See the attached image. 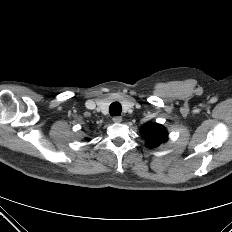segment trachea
<instances>
[{
	"instance_id": "3493384b",
	"label": "trachea",
	"mask_w": 232,
	"mask_h": 232,
	"mask_svg": "<svg viewBox=\"0 0 232 232\" xmlns=\"http://www.w3.org/2000/svg\"><path fill=\"white\" fill-rule=\"evenodd\" d=\"M122 106L118 102H113L109 107V112L111 116L121 115Z\"/></svg>"
}]
</instances>
